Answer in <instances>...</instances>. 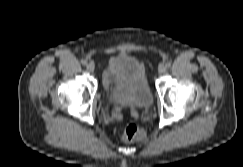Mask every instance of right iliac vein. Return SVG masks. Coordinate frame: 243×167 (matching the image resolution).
I'll use <instances>...</instances> for the list:
<instances>
[{"instance_id":"right-iliac-vein-1","label":"right iliac vein","mask_w":243,"mask_h":167,"mask_svg":"<svg viewBox=\"0 0 243 167\" xmlns=\"http://www.w3.org/2000/svg\"><path fill=\"white\" fill-rule=\"evenodd\" d=\"M94 65L93 64H88L87 65V70L89 71V72H93L94 71Z\"/></svg>"}]
</instances>
